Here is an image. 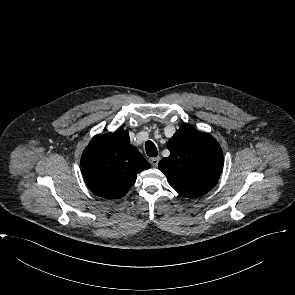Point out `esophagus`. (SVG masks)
Here are the masks:
<instances>
[{"instance_id": "34e87169", "label": "esophagus", "mask_w": 295, "mask_h": 295, "mask_svg": "<svg viewBox=\"0 0 295 295\" xmlns=\"http://www.w3.org/2000/svg\"><path fill=\"white\" fill-rule=\"evenodd\" d=\"M149 161H150V163H151L154 167H156V166L158 165L159 161H160V157H159V156H157V157H152V158L149 159Z\"/></svg>"}]
</instances>
